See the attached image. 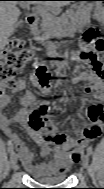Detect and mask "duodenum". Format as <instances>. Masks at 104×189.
Instances as JSON below:
<instances>
[{
	"instance_id": "410a0bca",
	"label": "duodenum",
	"mask_w": 104,
	"mask_h": 189,
	"mask_svg": "<svg viewBox=\"0 0 104 189\" xmlns=\"http://www.w3.org/2000/svg\"><path fill=\"white\" fill-rule=\"evenodd\" d=\"M26 26L30 31H33L36 29L37 25H38V21L37 18L35 16H28L26 18Z\"/></svg>"
}]
</instances>
